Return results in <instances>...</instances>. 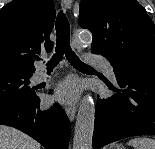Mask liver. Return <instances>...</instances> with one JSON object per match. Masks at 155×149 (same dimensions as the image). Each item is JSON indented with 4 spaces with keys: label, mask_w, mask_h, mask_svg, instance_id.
<instances>
[{
    "label": "liver",
    "mask_w": 155,
    "mask_h": 149,
    "mask_svg": "<svg viewBox=\"0 0 155 149\" xmlns=\"http://www.w3.org/2000/svg\"><path fill=\"white\" fill-rule=\"evenodd\" d=\"M0 149H41V145L15 128L0 125Z\"/></svg>",
    "instance_id": "liver-1"
}]
</instances>
